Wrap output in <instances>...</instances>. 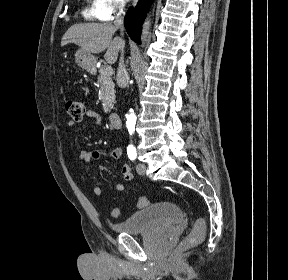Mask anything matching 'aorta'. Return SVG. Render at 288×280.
<instances>
[{
	"mask_svg": "<svg viewBox=\"0 0 288 280\" xmlns=\"http://www.w3.org/2000/svg\"><path fill=\"white\" fill-rule=\"evenodd\" d=\"M128 111L126 115V120H137L136 111H133V106H128ZM125 126H129V131H127V136H136V131H134V121H125Z\"/></svg>",
	"mask_w": 288,
	"mask_h": 280,
	"instance_id": "762f6f07",
	"label": "aorta"
}]
</instances>
